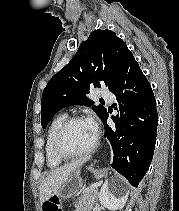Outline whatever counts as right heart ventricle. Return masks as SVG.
I'll return each mask as SVG.
<instances>
[{
	"instance_id": "obj_1",
	"label": "right heart ventricle",
	"mask_w": 179,
	"mask_h": 211,
	"mask_svg": "<svg viewBox=\"0 0 179 211\" xmlns=\"http://www.w3.org/2000/svg\"><path fill=\"white\" fill-rule=\"evenodd\" d=\"M66 119L67 114H60L56 116L47 129L45 139V158L47 166L51 169L57 168L63 163V160L55 154L53 145L57 130Z\"/></svg>"
}]
</instances>
